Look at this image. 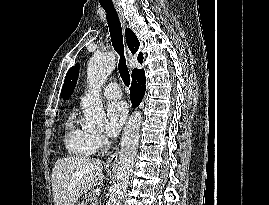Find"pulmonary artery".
I'll return each mask as SVG.
<instances>
[{"label":"pulmonary artery","mask_w":269,"mask_h":205,"mask_svg":"<svg viewBox=\"0 0 269 205\" xmlns=\"http://www.w3.org/2000/svg\"><path fill=\"white\" fill-rule=\"evenodd\" d=\"M103 95L108 99H119L122 92L116 83H110L103 89Z\"/></svg>","instance_id":"e3ab8cb5"}]
</instances>
